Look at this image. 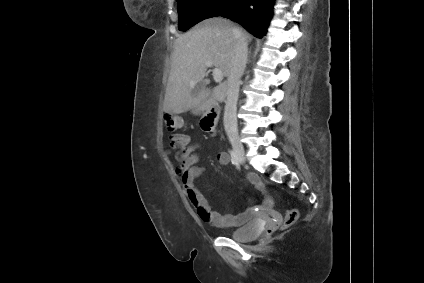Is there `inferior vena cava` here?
<instances>
[{
    "label": "inferior vena cava",
    "mask_w": 424,
    "mask_h": 283,
    "mask_svg": "<svg viewBox=\"0 0 424 283\" xmlns=\"http://www.w3.org/2000/svg\"><path fill=\"white\" fill-rule=\"evenodd\" d=\"M237 39L234 55L231 59L230 73L227 79V99L224 111V128L227 135L237 134L236 109L239 96L240 80L245 71L247 62V41L239 27L233 28Z\"/></svg>",
    "instance_id": "1"
}]
</instances>
